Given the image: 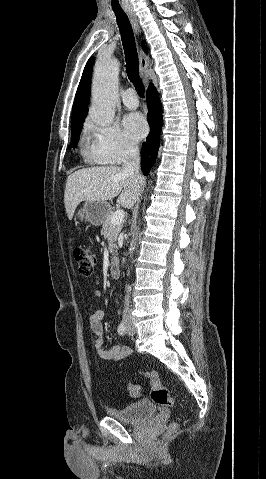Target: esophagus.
<instances>
[{
	"label": "esophagus",
	"instance_id": "34e87169",
	"mask_svg": "<svg viewBox=\"0 0 266 479\" xmlns=\"http://www.w3.org/2000/svg\"><path fill=\"white\" fill-rule=\"evenodd\" d=\"M127 14L129 15L130 17V20H131V23L133 25V28L135 30L136 33L139 32V25H138V20H137V17L134 13L133 10L131 9H127L126 10ZM139 62H140V72H141V76H142V79H143V82L145 83V85L147 86L148 83H149V79L148 77L144 74L145 70L148 69L149 67V60H148V57L147 55L143 52L142 49H140L139 51Z\"/></svg>",
	"mask_w": 266,
	"mask_h": 479
}]
</instances>
